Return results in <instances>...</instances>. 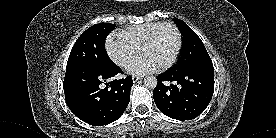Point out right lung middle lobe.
Listing matches in <instances>:
<instances>
[{"mask_svg": "<svg viewBox=\"0 0 276 138\" xmlns=\"http://www.w3.org/2000/svg\"><path fill=\"white\" fill-rule=\"evenodd\" d=\"M114 29V24L99 23L84 31L71 50L66 71L80 67L109 68L112 66L114 63L106 54L105 40Z\"/></svg>", "mask_w": 276, "mask_h": 138, "instance_id": "1", "label": "right lung middle lobe"}]
</instances>
